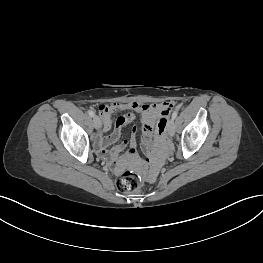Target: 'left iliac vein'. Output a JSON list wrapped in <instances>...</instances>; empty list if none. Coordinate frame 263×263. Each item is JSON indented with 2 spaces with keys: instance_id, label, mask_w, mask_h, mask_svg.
Segmentation results:
<instances>
[{
  "instance_id": "left-iliac-vein-1",
  "label": "left iliac vein",
  "mask_w": 263,
  "mask_h": 263,
  "mask_svg": "<svg viewBox=\"0 0 263 263\" xmlns=\"http://www.w3.org/2000/svg\"><path fill=\"white\" fill-rule=\"evenodd\" d=\"M167 131H168V134H169L170 136H174V134H175V122H174L173 119H171V120L168 122Z\"/></svg>"
}]
</instances>
